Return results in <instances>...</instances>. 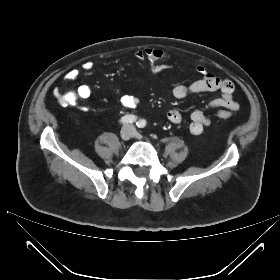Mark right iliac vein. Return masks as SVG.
I'll list each match as a JSON object with an SVG mask.
<instances>
[{
	"label": "right iliac vein",
	"instance_id": "1",
	"mask_svg": "<svg viewBox=\"0 0 280 280\" xmlns=\"http://www.w3.org/2000/svg\"><path fill=\"white\" fill-rule=\"evenodd\" d=\"M132 134H133L132 128L129 126H125L122 128L120 132V137L122 140L127 141L132 137Z\"/></svg>",
	"mask_w": 280,
	"mask_h": 280
}]
</instances>
